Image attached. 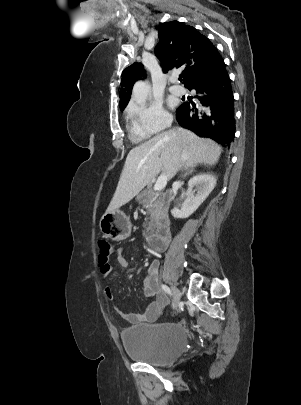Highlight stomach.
<instances>
[{
  "label": "stomach",
  "instance_id": "stomach-1",
  "mask_svg": "<svg viewBox=\"0 0 301 405\" xmlns=\"http://www.w3.org/2000/svg\"><path fill=\"white\" fill-rule=\"evenodd\" d=\"M131 222L129 217L122 211L105 212L99 222V228L103 235L114 241H121L130 236Z\"/></svg>",
  "mask_w": 301,
  "mask_h": 405
}]
</instances>
